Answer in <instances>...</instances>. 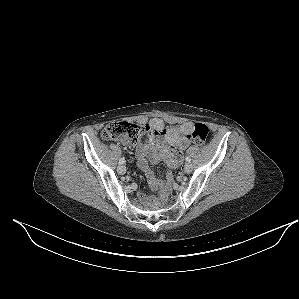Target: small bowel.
Segmentation results:
<instances>
[{"label": "small bowel", "instance_id": "c3829d8e", "mask_svg": "<svg viewBox=\"0 0 299 299\" xmlns=\"http://www.w3.org/2000/svg\"><path fill=\"white\" fill-rule=\"evenodd\" d=\"M193 126L191 122H183L167 128L160 118L149 121L147 139L137 145V159L153 190L160 188L162 182L150 169L148 162L156 163L162 160L170 168L180 166L182 151L190 145L188 134L193 130ZM121 143L124 146L133 144L126 140H121Z\"/></svg>", "mask_w": 299, "mask_h": 299}]
</instances>
